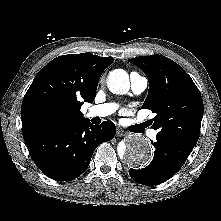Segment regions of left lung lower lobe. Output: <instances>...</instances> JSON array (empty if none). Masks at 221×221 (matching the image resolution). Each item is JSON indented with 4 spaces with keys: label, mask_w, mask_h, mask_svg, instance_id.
<instances>
[{
    "label": "left lung lower lobe",
    "mask_w": 221,
    "mask_h": 221,
    "mask_svg": "<svg viewBox=\"0 0 221 221\" xmlns=\"http://www.w3.org/2000/svg\"><path fill=\"white\" fill-rule=\"evenodd\" d=\"M154 157L151 163L141 170L130 169L133 180L143 185H158L171 178L182 167L194 147L180 141L157 136Z\"/></svg>",
    "instance_id": "left-lung-lower-lobe-1"
}]
</instances>
